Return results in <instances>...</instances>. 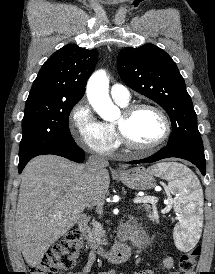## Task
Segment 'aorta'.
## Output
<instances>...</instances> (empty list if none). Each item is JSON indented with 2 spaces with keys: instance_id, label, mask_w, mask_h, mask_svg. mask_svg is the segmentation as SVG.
Returning <instances> with one entry per match:
<instances>
[{
  "instance_id": "762f6f07",
  "label": "aorta",
  "mask_w": 215,
  "mask_h": 274,
  "mask_svg": "<svg viewBox=\"0 0 215 274\" xmlns=\"http://www.w3.org/2000/svg\"><path fill=\"white\" fill-rule=\"evenodd\" d=\"M109 80L106 72L100 70L95 72L87 84V97L93 109L107 121L119 116V109L115 106L108 94Z\"/></svg>"
}]
</instances>
